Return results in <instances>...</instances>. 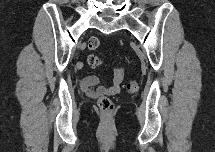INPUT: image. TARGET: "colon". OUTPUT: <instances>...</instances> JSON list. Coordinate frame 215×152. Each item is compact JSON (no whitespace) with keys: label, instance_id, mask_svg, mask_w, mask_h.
<instances>
[{"label":"colon","instance_id":"1","mask_svg":"<svg viewBox=\"0 0 215 152\" xmlns=\"http://www.w3.org/2000/svg\"><path fill=\"white\" fill-rule=\"evenodd\" d=\"M99 40L96 37H92L88 41L89 50H96L99 47ZM87 63L91 68H97L101 65L102 59L94 54H91L87 58ZM139 89V85L136 81H129L125 85V90L130 93H136ZM98 106L101 111L109 113L114 109L113 101L109 97H101L98 100Z\"/></svg>","mask_w":215,"mask_h":152}]
</instances>
